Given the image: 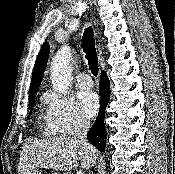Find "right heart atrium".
<instances>
[{
  "mask_svg": "<svg viewBox=\"0 0 175 174\" xmlns=\"http://www.w3.org/2000/svg\"><path fill=\"white\" fill-rule=\"evenodd\" d=\"M44 100L47 105V124L55 135H71L88 126V120L76 107L72 98L48 91Z\"/></svg>",
  "mask_w": 175,
  "mask_h": 174,
  "instance_id": "1",
  "label": "right heart atrium"
}]
</instances>
